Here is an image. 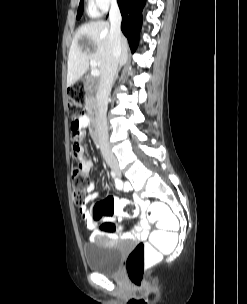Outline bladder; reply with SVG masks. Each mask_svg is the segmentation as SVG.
Returning a JSON list of instances; mask_svg holds the SVG:
<instances>
[{"label":"bladder","mask_w":247,"mask_h":304,"mask_svg":"<svg viewBox=\"0 0 247 304\" xmlns=\"http://www.w3.org/2000/svg\"><path fill=\"white\" fill-rule=\"evenodd\" d=\"M84 256L91 271L115 274L123 257V249L119 242L100 238L85 246Z\"/></svg>","instance_id":"31cf9c89"}]
</instances>
